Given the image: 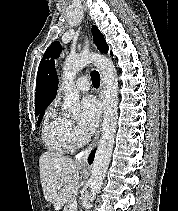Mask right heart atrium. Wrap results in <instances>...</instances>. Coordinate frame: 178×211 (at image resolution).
<instances>
[{
	"mask_svg": "<svg viewBox=\"0 0 178 211\" xmlns=\"http://www.w3.org/2000/svg\"><path fill=\"white\" fill-rule=\"evenodd\" d=\"M68 134L70 137H73L76 135V130H75V127L72 123H68Z\"/></svg>",
	"mask_w": 178,
	"mask_h": 211,
	"instance_id": "right-heart-atrium-1",
	"label": "right heart atrium"
}]
</instances>
